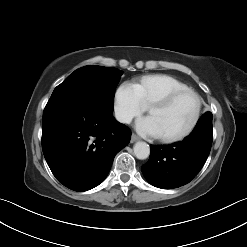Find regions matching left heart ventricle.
<instances>
[{
  "label": "left heart ventricle",
  "mask_w": 247,
  "mask_h": 247,
  "mask_svg": "<svg viewBox=\"0 0 247 247\" xmlns=\"http://www.w3.org/2000/svg\"><path fill=\"white\" fill-rule=\"evenodd\" d=\"M196 110L197 99L191 94H185L165 109H153L149 116L154 120L161 136H174L189 127Z\"/></svg>",
  "instance_id": "b2bd125f"
}]
</instances>
